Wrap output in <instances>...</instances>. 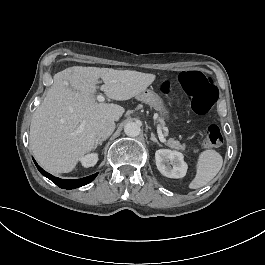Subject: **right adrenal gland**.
<instances>
[{
	"instance_id": "2a0ac1e0",
	"label": "right adrenal gland",
	"mask_w": 265,
	"mask_h": 265,
	"mask_svg": "<svg viewBox=\"0 0 265 265\" xmlns=\"http://www.w3.org/2000/svg\"><path fill=\"white\" fill-rule=\"evenodd\" d=\"M106 140V138H102V139H96V143H95V145H94V151L96 150V149H98V147H100V146H102V141H105Z\"/></svg>"
}]
</instances>
